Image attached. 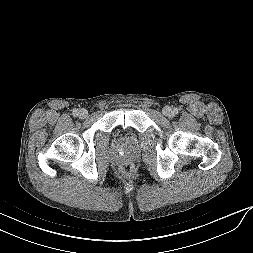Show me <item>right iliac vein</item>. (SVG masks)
I'll return each mask as SVG.
<instances>
[{
    "mask_svg": "<svg viewBox=\"0 0 253 253\" xmlns=\"http://www.w3.org/2000/svg\"><path fill=\"white\" fill-rule=\"evenodd\" d=\"M78 116L79 118L84 119L88 116V111L86 109H80L78 111Z\"/></svg>",
    "mask_w": 253,
    "mask_h": 253,
    "instance_id": "63e3f726",
    "label": "right iliac vein"
}]
</instances>
